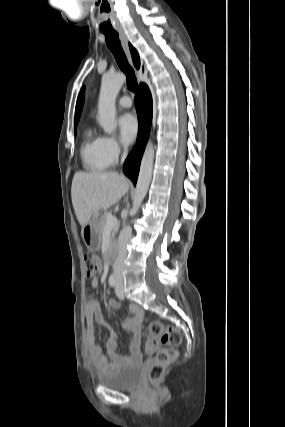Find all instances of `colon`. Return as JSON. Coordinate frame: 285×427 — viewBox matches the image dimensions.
<instances>
[{
  "instance_id": "5ec220e1",
  "label": "colon",
  "mask_w": 285,
  "mask_h": 427,
  "mask_svg": "<svg viewBox=\"0 0 285 427\" xmlns=\"http://www.w3.org/2000/svg\"><path fill=\"white\" fill-rule=\"evenodd\" d=\"M83 264L86 278L92 279L97 271V263L90 257L85 256ZM181 341V334L176 328L161 321L149 323L145 349L148 353L155 354V362L148 373V378L151 382L161 378L165 368L175 358ZM160 345L163 347H159Z\"/></svg>"
}]
</instances>
